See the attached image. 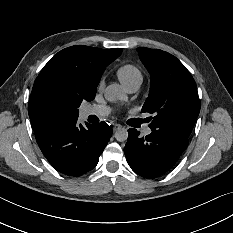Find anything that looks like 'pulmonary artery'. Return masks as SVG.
I'll list each match as a JSON object with an SVG mask.
<instances>
[{
    "label": "pulmonary artery",
    "instance_id": "obj_1",
    "mask_svg": "<svg viewBox=\"0 0 233 233\" xmlns=\"http://www.w3.org/2000/svg\"><path fill=\"white\" fill-rule=\"evenodd\" d=\"M138 86H132V87H127V91L129 93H135L138 90ZM110 108L105 107V106H97V107H91L87 110V115H95L98 117H104L107 116L110 113ZM152 133V129L149 127H145L143 129V134L144 135H150Z\"/></svg>",
    "mask_w": 233,
    "mask_h": 233
}]
</instances>
